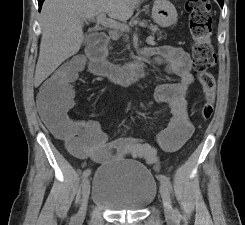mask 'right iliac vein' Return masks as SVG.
Returning <instances> with one entry per match:
<instances>
[{
  "instance_id": "63e3f726",
  "label": "right iliac vein",
  "mask_w": 245,
  "mask_h": 225,
  "mask_svg": "<svg viewBox=\"0 0 245 225\" xmlns=\"http://www.w3.org/2000/svg\"><path fill=\"white\" fill-rule=\"evenodd\" d=\"M90 194V180L88 178L83 180L82 183V200H81V207L75 216V220L79 221L82 220L86 215V208L87 202Z\"/></svg>"
}]
</instances>
